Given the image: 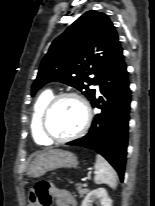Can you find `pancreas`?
I'll list each match as a JSON object with an SVG mask.
<instances>
[{
	"label": "pancreas",
	"instance_id": "cf45deb5",
	"mask_svg": "<svg viewBox=\"0 0 155 206\" xmlns=\"http://www.w3.org/2000/svg\"><path fill=\"white\" fill-rule=\"evenodd\" d=\"M76 187H77V191L81 197H83V195L88 192V189L82 188V186L79 184H77Z\"/></svg>",
	"mask_w": 155,
	"mask_h": 206
}]
</instances>
